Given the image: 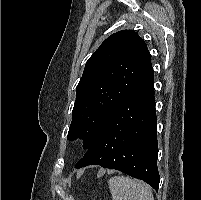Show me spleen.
I'll list each match as a JSON object with an SVG mask.
<instances>
[{
    "label": "spleen",
    "mask_w": 201,
    "mask_h": 200,
    "mask_svg": "<svg viewBox=\"0 0 201 200\" xmlns=\"http://www.w3.org/2000/svg\"><path fill=\"white\" fill-rule=\"evenodd\" d=\"M108 185L113 200H154L148 185L129 177L114 176Z\"/></svg>",
    "instance_id": "1"
}]
</instances>
